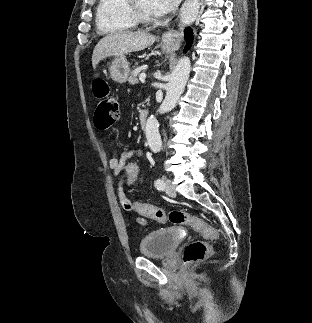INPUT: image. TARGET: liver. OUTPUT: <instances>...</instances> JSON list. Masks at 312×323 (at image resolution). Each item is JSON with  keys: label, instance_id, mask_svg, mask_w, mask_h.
I'll return each mask as SVG.
<instances>
[{"label": "liver", "instance_id": "1", "mask_svg": "<svg viewBox=\"0 0 312 323\" xmlns=\"http://www.w3.org/2000/svg\"><path fill=\"white\" fill-rule=\"evenodd\" d=\"M156 38L145 32H115L107 34L96 44L92 54V66L95 70L100 60L109 58V56H124L129 52H140L148 46L154 44Z\"/></svg>", "mask_w": 312, "mask_h": 323}]
</instances>
